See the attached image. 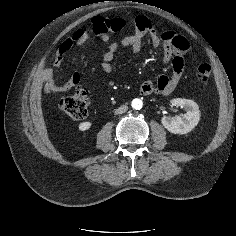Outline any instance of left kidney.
<instances>
[{
    "instance_id": "1",
    "label": "left kidney",
    "mask_w": 236,
    "mask_h": 236,
    "mask_svg": "<svg viewBox=\"0 0 236 236\" xmlns=\"http://www.w3.org/2000/svg\"><path fill=\"white\" fill-rule=\"evenodd\" d=\"M172 105L183 107L186 111L181 116L166 117L161 120L163 126L173 134H187L197 126L200 120V110L198 105L188 99H173Z\"/></svg>"
}]
</instances>
